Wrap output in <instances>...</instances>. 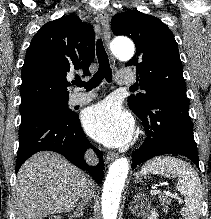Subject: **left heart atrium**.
Masks as SVG:
<instances>
[{"label": "left heart atrium", "instance_id": "obj_1", "mask_svg": "<svg viewBox=\"0 0 211 219\" xmlns=\"http://www.w3.org/2000/svg\"><path fill=\"white\" fill-rule=\"evenodd\" d=\"M82 122L91 137L110 147L128 143L134 132L132 117L117 103L110 100L87 109Z\"/></svg>", "mask_w": 211, "mask_h": 219}]
</instances>
